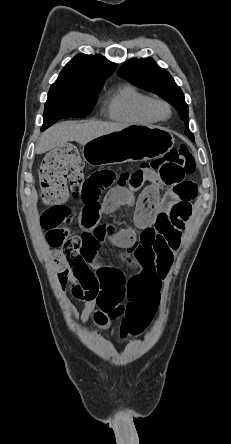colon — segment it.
Wrapping results in <instances>:
<instances>
[{
	"instance_id": "5ec220e1",
	"label": "colon",
	"mask_w": 231,
	"mask_h": 444,
	"mask_svg": "<svg viewBox=\"0 0 231 444\" xmlns=\"http://www.w3.org/2000/svg\"><path fill=\"white\" fill-rule=\"evenodd\" d=\"M196 169L193 154L186 145H181L167 152L163 157L143 164L139 168L119 175V186H130L149 174H155L164 184L178 189L185 182V177ZM41 199L47 209L41 216V225L47 231H54L70 226L73 215L63 205L69 192L79 197L84 188L85 180L82 162L78 150L67 145L49 152L42 160L39 172ZM191 213L189 206L179 203L173 208V216L186 219ZM68 268L75 270L83 266V259L76 251H64ZM159 286L150 284L143 292L132 296L126 306L121 326V335L140 333L152 319L159 302ZM75 296L81 293L80 286L73 284Z\"/></svg>"
}]
</instances>
